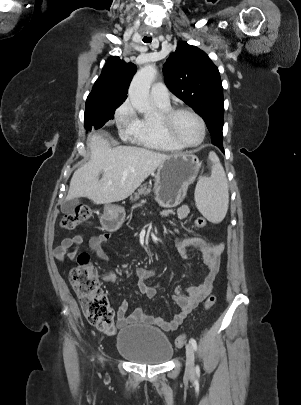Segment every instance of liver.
<instances>
[{
	"label": "liver",
	"instance_id": "liver-1",
	"mask_svg": "<svg viewBox=\"0 0 301 405\" xmlns=\"http://www.w3.org/2000/svg\"><path fill=\"white\" fill-rule=\"evenodd\" d=\"M87 148L90 160L74 172L66 200L87 197L108 204L126 199L169 157L135 146L111 148L97 132L89 134Z\"/></svg>",
	"mask_w": 301,
	"mask_h": 405
}]
</instances>
